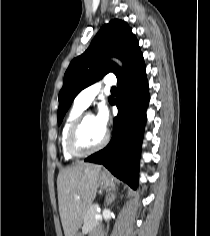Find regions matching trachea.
Returning a JSON list of instances; mask_svg holds the SVG:
<instances>
[{
	"mask_svg": "<svg viewBox=\"0 0 210 236\" xmlns=\"http://www.w3.org/2000/svg\"><path fill=\"white\" fill-rule=\"evenodd\" d=\"M111 91H112V92L117 91L116 87H112V88H111Z\"/></svg>",
	"mask_w": 210,
	"mask_h": 236,
	"instance_id": "1",
	"label": "trachea"
}]
</instances>
